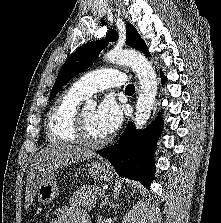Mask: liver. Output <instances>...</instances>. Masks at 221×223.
<instances>
[{
  "label": "liver",
  "mask_w": 221,
  "mask_h": 223,
  "mask_svg": "<svg viewBox=\"0 0 221 223\" xmlns=\"http://www.w3.org/2000/svg\"><path fill=\"white\" fill-rule=\"evenodd\" d=\"M93 156V151L65 142H55L40 150L33 158L27 178L26 207L32 203L39 184L46 176L53 174L59 167H66Z\"/></svg>",
  "instance_id": "6515ba94"
}]
</instances>
